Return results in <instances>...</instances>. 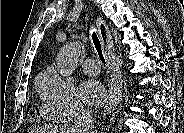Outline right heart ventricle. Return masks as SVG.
Listing matches in <instances>:
<instances>
[{
	"label": "right heart ventricle",
	"instance_id": "e07e8e85",
	"mask_svg": "<svg viewBox=\"0 0 184 133\" xmlns=\"http://www.w3.org/2000/svg\"><path fill=\"white\" fill-rule=\"evenodd\" d=\"M43 75H44V74H43ZM43 75H42V76H43ZM42 76L40 77V79L42 78ZM40 79H39V81H40Z\"/></svg>",
	"mask_w": 184,
	"mask_h": 133
}]
</instances>
